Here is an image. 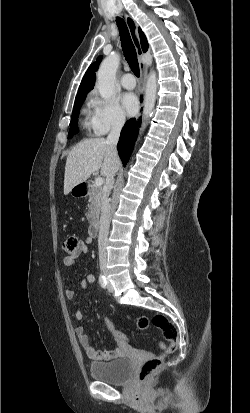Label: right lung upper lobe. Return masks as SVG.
Masks as SVG:
<instances>
[{"label":"right lung upper lobe","instance_id":"cb5924a9","mask_svg":"<svg viewBox=\"0 0 250 413\" xmlns=\"http://www.w3.org/2000/svg\"><path fill=\"white\" fill-rule=\"evenodd\" d=\"M138 33H139V37H140V41H141V46H142V50L143 52H146L148 49V42L146 39L145 34L142 32V30L140 28H138ZM102 56H99L97 58V60L92 63L90 65V67L88 68L87 72L85 73L78 93L76 95V97L82 96V95H86L87 92H89L91 89H93L94 84H95V80H96V75H95V71L98 69V66L102 60Z\"/></svg>","mask_w":250,"mask_h":413}]
</instances>
